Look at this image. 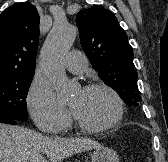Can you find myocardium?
Listing matches in <instances>:
<instances>
[{
	"label": "myocardium",
	"instance_id": "obj_1",
	"mask_svg": "<svg viewBox=\"0 0 168 162\" xmlns=\"http://www.w3.org/2000/svg\"><path fill=\"white\" fill-rule=\"evenodd\" d=\"M95 90H104L111 95V97L113 98L115 102V106H116V111H115L114 116L108 122L101 124V125L86 124L82 120H80L73 111H72V116H73L75 123L82 130L87 131V132L97 133V132H104V131L110 130L121 121L123 114H124V104L118 92L114 88H112L111 86L105 83L89 84L83 87L82 89V91L84 92H90V91H95Z\"/></svg>",
	"mask_w": 168,
	"mask_h": 162
}]
</instances>
